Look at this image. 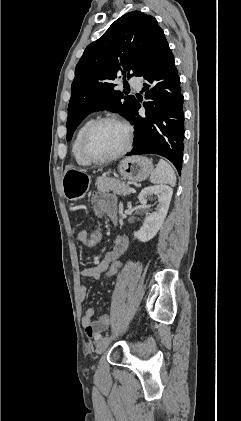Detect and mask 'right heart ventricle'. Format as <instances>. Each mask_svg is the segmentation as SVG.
<instances>
[{"label":"right heart ventricle","mask_w":241,"mask_h":421,"mask_svg":"<svg viewBox=\"0 0 241 421\" xmlns=\"http://www.w3.org/2000/svg\"><path fill=\"white\" fill-rule=\"evenodd\" d=\"M93 121V119L86 120L77 130L75 137L72 142V154L75 159V161L82 166H88L91 164L87 159L84 158V156L81 153L80 150V141L83 132L87 128V126Z\"/></svg>","instance_id":"right-heart-ventricle-1"}]
</instances>
